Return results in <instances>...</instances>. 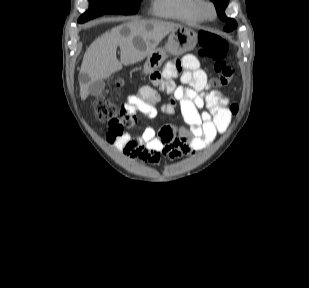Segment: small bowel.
Here are the masks:
<instances>
[{
  "mask_svg": "<svg viewBox=\"0 0 309 288\" xmlns=\"http://www.w3.org/2000/svg\"><path fill=\"white\" fill-rule=\"evenodd\" d=\"M180 77L181 85L174 79ZM153 86H142L138 93L128 97L125 106L138 111L147 119H155L159 113L174 115L177 105L187 127L177 131L172 127L160 130L146 128L141 135L133 136L120 123L110 122L106 133L109 145L125 156L142 163L156 165L161 155L171 160L183 154H194L205 149L219 134L226 132L232 117L229 99L208 84L206 72L192 54L170 62L162 75L152 78ZM154 86L162 87L169 94V101L160 107V94ZM206 111L199 113V109Z\"/></svg>",
  "mask_w": 309,
  "mask_h": 288,
  "instance_id": "small-bowel-1",
  "label": "small bowel"
}]
</instances>
